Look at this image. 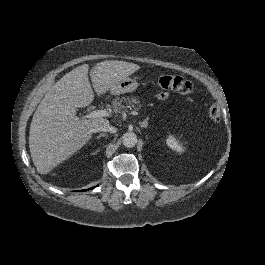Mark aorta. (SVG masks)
I'll use <instances>...</instances> for the list:
<instances>
[{"label": "aorta", "mask_w": 265, "mask_h": 265, "mask_svg": "<svg viewBox=\"0 0 265 265\" xmlns=\"http://www.w3.org/2000/svg\"><path fill=\"white\" fill-rule=\"evenodd\" d=\"M123 145L132 148L137 143V136L134 132H126L122 137Z\"/></svg>", "instance_id": "1"}]
</instances>
